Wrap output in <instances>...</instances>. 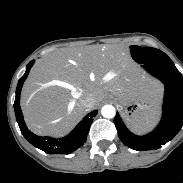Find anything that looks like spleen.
I'll return each instance as SVG.
<instances>
[{
	"mask_svg": "<svg viewBox=\"0 0 183 183\" xmlns=\"http://www.w3.org/2000/svg\"><path fill=\"white\" fill-rule=\"evenodd\" d=\"M158 116L159 111L156 109L153 112L146 115L142 121L132 123V128L138 133L150 130L156 124Z\"/></svg>",
	"mask_w": 183,
	"mask_h": 183,
	"instance_id": "3e777b00",
	"label": "spleen"
}]
</instances>
